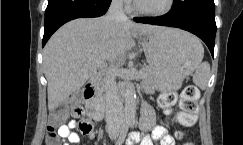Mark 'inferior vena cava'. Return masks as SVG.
<instances>
[{
  "label": "inferior vena cava",
  "instance_id": "602c4592",
  "mask_svg": "<svg viewBox=\"0 0 243 145\" xmlns=\"http://www.w3.org/2000/svg\"><path fill=\"white\" fill-rule=\"evenodd\" d=\"M107 19L111 22L128 21V18L123 10V0H112V3L107 13ZM115 76L116 75L114 65L111 64L106 72V76L104 79L107 117L123 116V105L117 93Z\"/></svg>",
  "mask_w": 243,
  "mask_h": 145
}]
</instances>
